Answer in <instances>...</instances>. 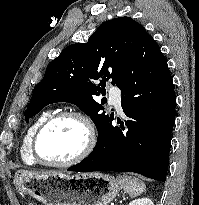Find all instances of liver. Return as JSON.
Wrapping results in <instances>:
<instances>
[{"label":"liver","instance_id":"6515ba94","mask_svg":"<svg viewBox=\"0 0 199 205\" xmlns=\"http://www.w3.org/2000/svg\"><path fill=\"white\" fill-rule=\"evenodd\" d=\"M25 172H27L31 175H40V173H38V172H28V171H25ZM49 173H55V172H47V173H42V174H49Z\"/></svg>","mask_w":199,"mask_h":205}]
</instances>
